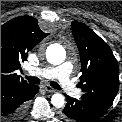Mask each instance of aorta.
I'll use <instances>...</instances> for the list:
<instances>
[{
  "label": "aorta",
  "mask_w": 122,
  "mask_h": 122,
  "mask_svg": "<svg viewBox=\"0 0 122 122\" xmlns=\"http://www.w3.org/2000/svg\"><path fill=\"white\" fill-rule=\"evenodd\" d=\"M65 50L61 45L54 44L48 47L46 51L47 61L53 65H59L65 60ZM51 103L53 106L60 108L65 103V98L62 94L56 93L51 97Z\"/></svg>",
  "instance_id": "762f6f07"
}]
</instances>
